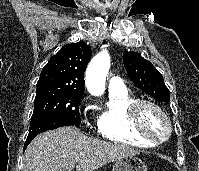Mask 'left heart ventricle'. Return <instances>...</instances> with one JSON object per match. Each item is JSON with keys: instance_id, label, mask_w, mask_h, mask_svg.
Segmentation results:
<instances>
[{"instance_id": "obj_1", "label": "left heart ventricle", "mask_w": 199, "mask_h": 171, "mask_svg": "<svg viewBox=\"0 0 199 171\" xmlns=\"http://www.w3.org/2000/svg\"><path fill=\"white\" fill-rule=\"evenodd\" d=\"M145 125L156 134H164L165 123L163 119L153 110L148 109L144 119Z\"/></svg>"}]
</instances>
